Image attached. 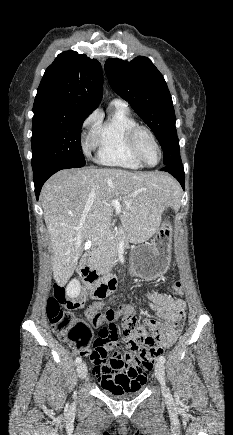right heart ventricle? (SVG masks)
Masks as SVG:
<instances>
[{"mask_svg":"<svg viewBox=\"0 0 233 435\" xmlns=\"http://www.w3.org/2000/svg\"><path fill=\"white\" fill-rule=\"evenodd\" d=\"M137 124L125 106L116 104L105 119L96 121L90 141L97 148L96 158L100 164L130 170L143 168L128 140L129 131Z\"/></svg>","mask_w":233,"mask_h":435,"instance_id":"1","label":"right heart ventricle"}]
</instances>
